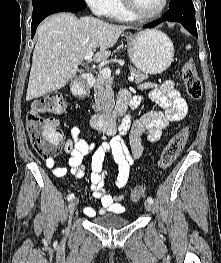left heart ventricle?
Masks as SVG:
<instances>
[{
  "label": "left heart ventricle",
  "instance_id": "b2bd125f",
  "mask_svg": "<svg viewBox=\"0 0 221 263\" xmlns=\"http://www.w3.org/2000/svg\"><path fill=\"white\" fill-rule=\"evenodd\" d=\"M134 2L141 12L152 13L161 7L163 0H134Z\"/></svg>",
  "mask_w": 221,
  "mask_h": 263
}]
</instances>
